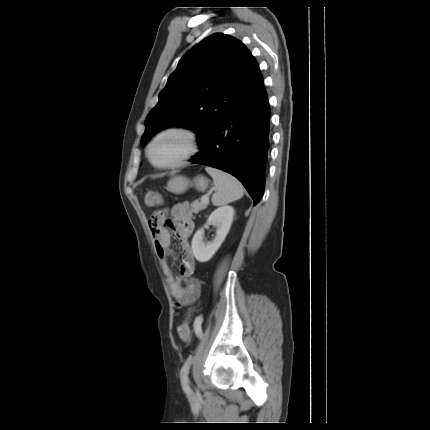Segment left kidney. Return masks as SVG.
Returning a JSON list of instances; mask_svg holds the SVG:
<instances>
[{
	"label": "left kidney",
	"mask_w": 430,
	"mask_h": 430,
	"mask_svg": "<svg viewBox=\"0 0 430 430\" xmlns=\"http://www.w3.org/2000/svg\"><path fill=\"white\" fill-rule=\"evenodd\" d=\"M234 209L232 206H222L214 210L207 222L216 227V236L213 241L204 238L203 229L196 231L192 239V251L199 262L209 261L225 240L233 222Z\"/></svg>",
	"instance_id": "left-kidney-1"
}]
</instances>
